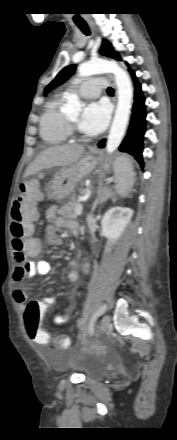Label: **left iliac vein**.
I'll use <instances>...</instances> for the list:
<instances>
[{
	"label": "left iliac vein",
	"mask_w": 177,
	"mask_h": 440,
	"mask_svg": "<svg viewBox=\"0 0 177 440\" xmlns=\"http://www.w3.org/2000/svg\"><path fill=\"white\" fill-rule=\"evenodd\" d=\"M109 325H110V316L105 314L98 326V336L105 333L108 330Z\"/></svg>",
	"instance_id": "obj_1"
}]
</instances>
